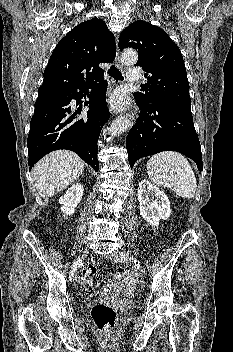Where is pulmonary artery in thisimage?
I'll list each match as a JSON object with an SVG mask.
<instances>
[{
	"mask_svg": "<svg viewBox=\"0 0 233 352\" xmlns=\"http://www.w3.org/2000/svg\"><path fill=\"white\" fill-rule=\"evenodd\" d=\"M127 79L131 82H137L141 79V74L138 68H130L127 72Z\"/></svg>",
	"mask_w": 233,
	"mask_h": 352,
	"instance_id": "1",
	"label": "pulmonary artery"
}]
</instances>
